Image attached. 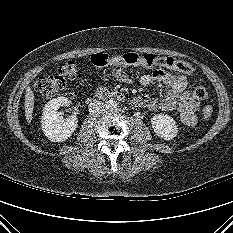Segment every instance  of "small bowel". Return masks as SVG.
I'll return each instance as SVG.
<instances>
[{
    "instance_id": "1",
    "label": "small bowel",
    "mask_w": 233,
    "mask_h": 233,
    "mask_svg": "<svg viewBox=\"0 0 233 233\" xmlns=\"http://www.w3.org/2000/svg\"><path fill=\"white\" fill-rule=\"evenodd\" d=\"M111 66L115 80L132 83V77L124 72L122 65L112 64ZM138 74L141 86L146 87L154 82H162L168 89L162 99L152 98L146 94L136 96L133 100L135 106L152 111H176L184 125L192 127L196 124V110L200 100L186 90L187 78L184 74L170 73L164 69H156L152 73L144 74L138 72Z\"/></svg>"
}]
</instances>
